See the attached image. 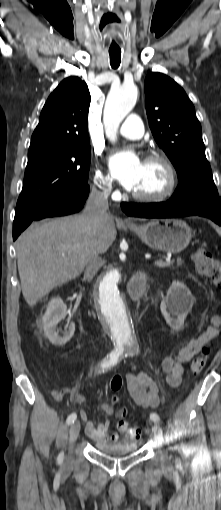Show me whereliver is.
I'll list each match as a JSON object with an SVG mask.
<instances>
[{"label":"liver","instance_id":"6515ba94","mask_svg":"<svg viewBox=\"0 0 221 510\" xmlns=\"http://www.w3.org/2000/svg\"><path fill=\"white\" fill-rule=\"evenodd\" d=\"M117 235L115 223L90 229L85 213L32 224L17 239L23 297L34 306L52 289L81 275L87 254L105 253Z\"/></svg>","mask_w":221,"mask_h":510}]
</instances>
